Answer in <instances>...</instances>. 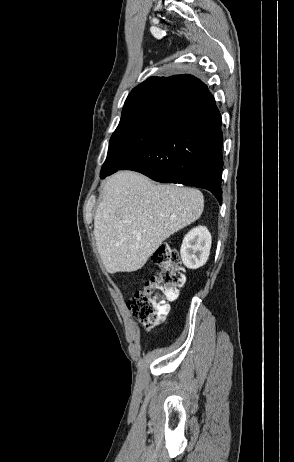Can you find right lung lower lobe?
Listing matches in <instances>:
<instances>
[{
    "label": "right lung lower lobe",
    "instance_id": "98d812e1",
    "mask_svg": "<svg viewBox=\"0 0 294 462\" xmlns=\"http://www.w3.org/2000/svg\"><path fill=\"white\" fill-rule=\"evenodd\" d=\"M185 99L187 105L171 124L119 170H134L158 182L204 188L221 204L220 113L209 90L201 95L191 93Z\"/></svg>",
    "mask_w": 294,
    "mask_h": 462
}]
</instances>
